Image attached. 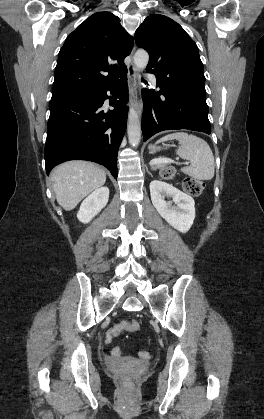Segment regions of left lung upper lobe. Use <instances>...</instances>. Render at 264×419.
Instances as JSON below:
<instances>
[{
    "label": "left lung upper lobe",
    "instance_id": "obj_1",
    "mask_svg": "<svg viewBox=\"0 0 264 419\" xmlns=\"http://www.w3.org/2000/svg\"><path fill=\"white\" fill-rule=\"evenodd\" d=\"M135 42L150 55L146 71L163 84L185 83L189 89L204 85L198 47L172 19L159 14L148 16L136 30Z\"/></svg>",
    "mask_w": 264,
    "mask_h": 419
}]
</instances>
